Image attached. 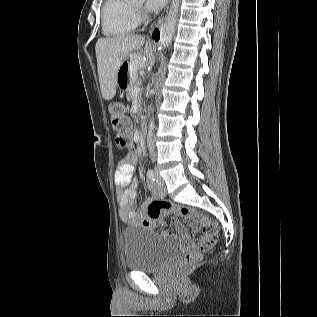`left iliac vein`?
Instances as JSON below:
<instances>
[{
    "instance_id": "obj_1",
    "label": "left iliac vein",
    "mask_w": 317,
    "mask_h": 317,
    "mask_svg": "<svg viewBox=\"0 0 317 317\" xmlns=\"http://www.w3.org/2000/svg\"><path fill=\"white\" fill-rule=\"evenodd\" d=\"M156 173H157V185L158 186H163L164 185V181H163V179H162V177L158 174V171H156Z\"/></svg>"
}]
</instances>
